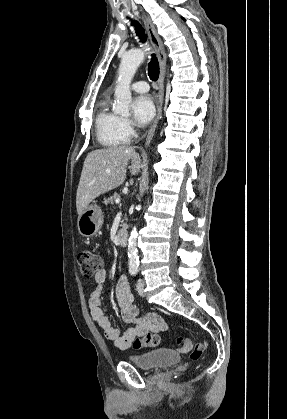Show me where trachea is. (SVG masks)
<instances>
[{
	"label": "trachea",
	"instance_id": "1",
	"mask_svg": "<svg viewBox=\"0 0 287 419\" xmlns=\"http://www.w3.org/2000/svg\"><path fill=\"white\" fill-rule=\"evenodd\" d=\"M131 25L135 27L136 34L139 37L140 42L145 43L147 40V36L143 27L137 21H132ZM148 75L152 81H156L159 77V63L155 54L151 55V61L148 65Z\"/></svg>",
	"mask_w": 287,
	"mask_h": 419
}]
</instances>
